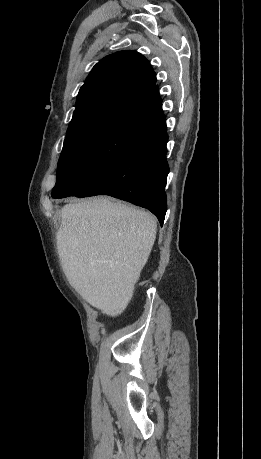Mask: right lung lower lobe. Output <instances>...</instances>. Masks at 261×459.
<instances>
[{
	"mask_svg": "<svg viewBox=\"0 0 261 459\" xmlns=\"http://www.w3.org/2000/svg\"><path fill=\"white\" fill-rule=\"evenodd\" d=\"M167 140L166 122L163 120L134 148L71 196L110 195L147 208L163 225L169 172Z\"/></svg>",
	"mask_w": 261,
	"mask_h": 459,
	"instance_id": "98d812e1",
	"label": "right lung lower lobe"
}]
</instances>
